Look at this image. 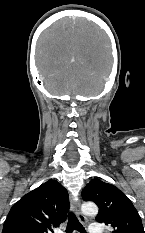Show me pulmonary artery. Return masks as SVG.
<instances>
[{
	"label": "pulmonary artery",
	"instance_id": "e3ab8cb5",
	"mask_svg": "<svg viewBox=\"0 0 145 233\" xmlns=\"http://www.w3.org/2000/svg\"><path fill=\"white\" fill-rule=\"evenodd\" d=\"M89 233H104V229L100 223H93L88 228Z\"/></svg>",
	"mask_w": 145,
	"mask_h": 233
}]
</instances>
